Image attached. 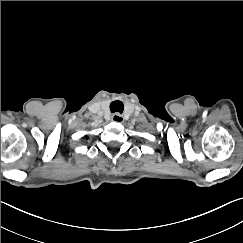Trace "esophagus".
Listing matches in <instances>:
<instances>
[{
	"label": "esophagus",
	"mask_w": 243,
	"mask_h": 243,
	"mask_svg": "<svg viewBox=\"0 0 243 243\" xmlns=\"http://www.w3.org/2000/svg\"><path fill=\"white\" fill-rule=\"evenodd\" d=\"M112 121L122 123L124 121V118L119 113H115L112 115Z\"/></svg>",
	"instance_id": "34e87169"
}]
</instances>
